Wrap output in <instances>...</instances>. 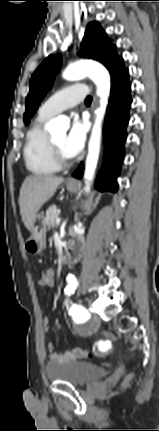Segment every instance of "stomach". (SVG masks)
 <instances>
[{
    "label": "stomach",
    "mask_w": 159,
    "mask_h": 431,
    "mask_svg": "<svg viewBox=\"0 0 159 431\" xmlns=\"http://www.w3.org/2000/svg\"><path fill=\"white\" fill-rule=\"evenodd\" d=\"M69 192H76L77 185L67 184ZM47 224L43 214H37L30 228V237L25 243V249L30 254H39L46 245Z\"/></svg>",
    "instance_id": "obj_1"
}]
</instances>
